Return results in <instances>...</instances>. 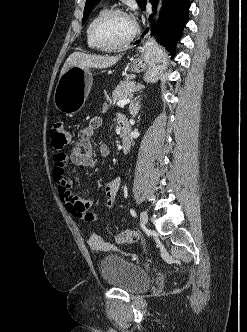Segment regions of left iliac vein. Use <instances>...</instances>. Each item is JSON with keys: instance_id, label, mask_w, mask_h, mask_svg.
<instances>
[{"instance_id": "1", "label": "left iliac vein", "mask_w": 247, "mask_h": 332, "mask_svg": "<svg viewBox=\"0 0 247 332\" xmlns=\"http://www.w3.org/2000/svg\"><path fill=\"white\" fill-rule=\"evenodd\" d=\"M140 220L144 225H146L148 223V215L145 211H142L140 213Z\"/></svg>"}]
</instances>
